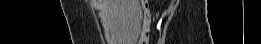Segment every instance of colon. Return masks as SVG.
I'll use <instances>...</instances> for the list:
<instances>
[{
	"mask_svg": "<svg viewBox=\"0 0 261 44\" xmlns=\"http://www.w3.org/2000/svg\"><path fill=\"white\" fill-rule=\"evenodd\" d=\"M143 4V12H144V22L147 20V7H146V1H141Z\"/></svg>",
	"mask_w": 261,
	"mask_h": 44,
	"instance_id": "colon-1",
	"label": "colon"
}]
</instances>
